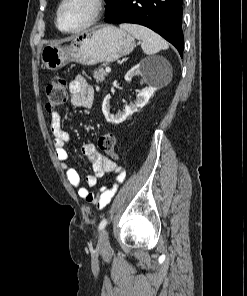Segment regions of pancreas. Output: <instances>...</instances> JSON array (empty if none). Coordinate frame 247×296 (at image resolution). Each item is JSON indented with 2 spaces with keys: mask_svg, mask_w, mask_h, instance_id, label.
Segmentation results:
<instances>
[{
  "mask_svg": "<svg viewBox=\"0 0 247 296\" xmlns=\"http://www.w3.org/2000/svg\"><path fill=\"white\" fill-rule=\"evenodd\" d=\"M107 76V72L104 70L103 66L98 67L93 72V77L96 79V82H103L105 77Z\"/></svg>",
  "mask_w": 247,
  "mask_h": 296,
  "instance_id": "pancreas-1",
  "label": "pancreas"
}]
</instances>
